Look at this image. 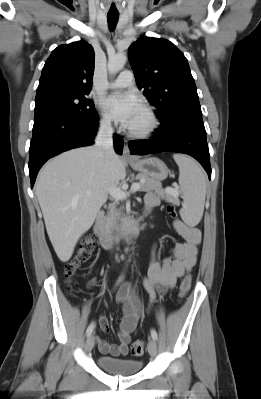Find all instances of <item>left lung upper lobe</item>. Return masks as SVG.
<instances>
[{"label": "left lung upper lobe", "mask_w": 261, "mask_h": 399, "mask_svg": "<svg viewBox=\"0 0 261 399\" xmlns=\"http://www.w3.org/2000/svg\"><path fill=\"white\" fill-rule=\"evenodd\" d=\"M128 53L138 87L158 108L161 128H170L190 116H202L187 59L172 42L143 36Z\"/></svg>", "instance_id": "obj_1"}]
</instances>
